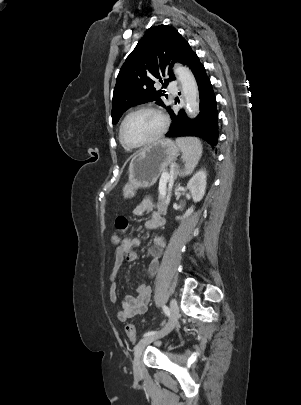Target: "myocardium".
<instances>
[{"mask_svg": "<svg viewBox=\"0 0 301 405\" xmlns=\"http://www.w3.org/2000/svg\"><path fill=\"white\" fill-rule=\"evenodd\" d=\"M144 111H148V112H152V113L156 114L161 119V127H160L159 131L152 138H150L142 143H138V144L130 143L129 141L126 140V138L124 136L125 124L131 116H133L136 113L144 112ZM168 126H169L168 117L162 110H160L157 107L150 106V105L140 106V107H137V108L133 109L132 111H130L123 118L121 125H120V129H119V139H120V142L129 149L142 148V147L148 146V145L156 142L157 140H159L166 133Z\"/></svg>", "mask_w": 301, "mask_h": 405, "instance_id": "myocardium-1", "label": "myocardium"}]
</instances>
